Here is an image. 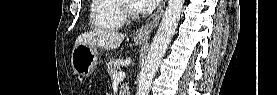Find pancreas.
<instances>
[{
    "label": "pancreas",
    "mask_w": 277,
    "mask_h": 95,
    "mask_svg": "<svg viewBox=\"0 0 277 95\" xmlns=\"http://www.w3.org/2000/svg\"><path fill=\"white\" fill-rule=\"evenodd\" d=\"M120 69L119 60L116 58H112L107 63V71L111 79H113V74L116 73ZM129 88L127 84L121 85L120 95L128 94Z\"/></svg>",
    "instance_id": "pancreas-1"
}]
</instances>
